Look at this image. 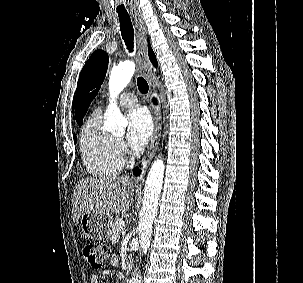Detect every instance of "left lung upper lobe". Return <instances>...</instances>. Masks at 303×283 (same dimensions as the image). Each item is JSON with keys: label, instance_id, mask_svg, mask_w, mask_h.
Instances as JSON below:
<instances>
[{"label": "left lung upper lobe", "instance_id": "left-lung-upper-lobe-1", "mask_svg": "<svg viewBox=\"0 0 303 283\" xmlns=\"http://www.w3.org/2000/svg\"><path fill=\"white\" fill-rule=\"evenodd\" d=\"M108 55L103 50L95 51L85 63L76 90V121L82 125L83 117L95 96L97 95L106 75Z\"/></svg>", "mask_w": 303, "mask_h": 283}]
</instances>
